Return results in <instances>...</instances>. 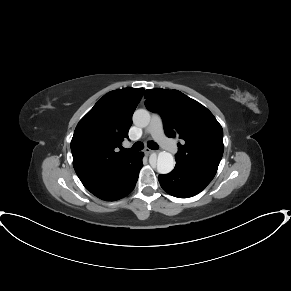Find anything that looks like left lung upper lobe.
Masks as SVG:
<instances>
[{"label":"left lung upper lobe","instance_id":"1","mask_svg":"<svg viewBox=\"0 0 291 291\" xmlns=\"http://www.w3.org/2000/svg\"><path fill=\"white\" fill-rule=\"evenodd\" d=\"M146 107L158 112L168 137L178 136L176 162L216 172L223 155V130L213 114L178 90L145 91Z\"/></svg>","mask_w":291,"mask_h":291}]
</instances>
